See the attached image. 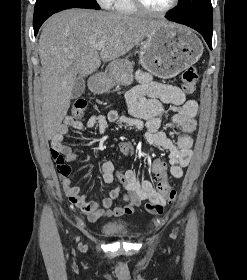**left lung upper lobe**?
Instances as JSON below:
<instances>
[{"label":"left lung upper lobe","instance_id":"5c2ea615","mask_svg":"<svg viewBox=\"0 0 247 280\" xmlns=\"http://www.w3.org/2000/svg\"><path fill=\"white\" fill-rule=\"evenodd\" d=\"M179 17L213 18L210 0H181V5L172 12Z\"/></svg>","mask_w":247,"mask_h":280}]
</instances>
